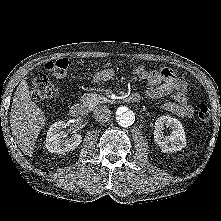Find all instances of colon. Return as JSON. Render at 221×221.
<instances>
[{"mask_svg": "<svg viewBox=\"0 0 221 221\" xmlns=\"http://www.w3.org/2000/svg\"><path fill=\"white\" fill-rule=\"evenodd\" d=\"M45 68L56 77L66 76L69 68L67 59H58L46 63ZM32 95L36 100H52L58 95V91L50 80L44 75H37L31 80ZM198 121L207 125L211 119L210 110L206 105H201L197 111Z\"/></svg>", "mask_w": 221, "mask_h": 221, "instance_id": "1", "label": "colon"}]
</instances>
